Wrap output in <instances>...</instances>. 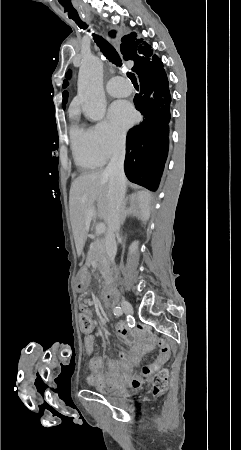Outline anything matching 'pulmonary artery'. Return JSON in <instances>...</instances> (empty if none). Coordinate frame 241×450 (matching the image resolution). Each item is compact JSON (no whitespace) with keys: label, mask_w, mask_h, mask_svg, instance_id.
Instances as JSON below:
<instances>
[{"label":"pulmonary artery","mask_w":241,"mask_h":450,"mask_svg":"<svg viewBox=\"0 0 241 450\" xmlns=\"http://www.w3.org/2000/svg\"><path fill=\"white\" fill-rule=\"evenodd\" d=\"M108 80L106 91L113 97H125L124 92L132 90L130 78H123L122 74H109Z\"/></svg>","instance_id":"1"}]
</instances>
